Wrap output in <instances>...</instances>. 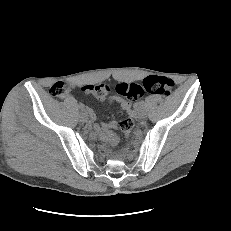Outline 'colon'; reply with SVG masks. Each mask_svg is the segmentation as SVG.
Returning a JSON list of instances; mask_svg holds the SVG:
<instances>
[{
  "label": "colon",
  "instance_id": "colon-1",
  "mask_svg": "<svg viewBox=\"0 0 231 231\" xmlns=\"http://www.w3.org/2000/svg\"><path fill=\"white\" fill-rule=\"evenodd\" d=\"M102 94L105 95L109 92L110 86L103 84L100 86ZM174 88L173 80L163 76H148L141 83L131 84H118L115 86V91L128 99L137 100L144 93L158 94L162 96H170ZM68 87L62 83L57 82L50 88V94L57 98H62L66 95ZM133 127V120L126 117L117 122V128L122 131L126 136H129Z\"/></svg>",
  "mask_w": 231,
  "mask_h": 231
}]
</instances>
